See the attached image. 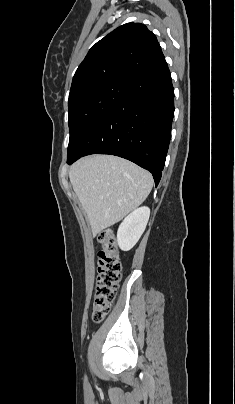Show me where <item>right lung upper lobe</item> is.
Returning a JSON list of instances; mask_svg holds the SVG:
<instances>
[{"label":"right lung upper lobe","instance_id":"1","mask_svg":"<svg viewBox=\"0 0 235 404\" xmlns=\"http://www.w3.org/2000/svg\"><path fill=\"white\" fill-rule=\"evenodd\" d=\"M165 62L156 36L141 23H127L98 41L73 77L69 98L105 82H128Z\"/></svg>","mask_w":235,"mask_h":404}]
</instances>
